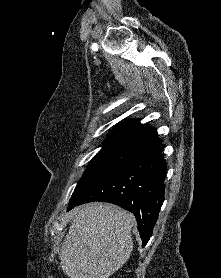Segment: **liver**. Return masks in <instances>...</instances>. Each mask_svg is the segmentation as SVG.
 Masks as SVG:
<instances>
[{"label": "liver", "instance_id": "liver-1", "mask_svg": "<svg viewBox=\"0 0 221 278\" xmlns=\"http://www.w3.org/2000/svg\"><path fill=\"white\" fill-rule=\"evenodd\" d=\"M133 214L110 203L79 206L60 251V265L70 278H109L133 250Z\"/></svg>", "mask_w": 221, "mask_h": 278}]
</instances>
